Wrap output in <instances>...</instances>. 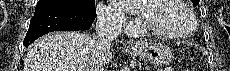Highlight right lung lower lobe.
Instances as JSON below:
<instances>
[{"label":"right lung lower lobe","instance_id":"1","mask_svg":"<svg viewBox=\"0 0 230 71\" xmlns=\"http://www.w3.org/2000/svg\"><path fill=\"white\" fill-rule=\"evenodd\" d=\"M96 16V12L73 7L56 6L36 9L23 45L28 47L38 37L52 31L88 30Z\"/></svg>","mask_w":230,"mask_h":71}]
</instances>
